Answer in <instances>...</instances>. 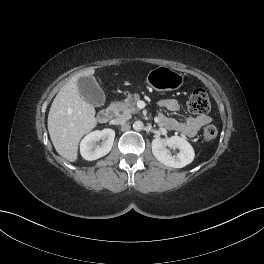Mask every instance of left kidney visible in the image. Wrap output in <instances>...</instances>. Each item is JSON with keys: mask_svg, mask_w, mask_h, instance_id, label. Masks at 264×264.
<instances>
[{"mask_svg": "<svg viewBox=\"0 0 264 264\" xmlns=\"http://www.w3.org/2000/svg\"><path fill=\"white\" fill-rule=\"evenodd\" d=\"M167 147L179 149V152L173 155ZM152 153L159 162L173 168L185 167L193 161L195 156L190 143L179 136H172L166 139H153Z\"/></svg>", "mask_w": 264, "mask_h": 264, "instance_id": "1", "label": "left kidney"}]
</instances>
